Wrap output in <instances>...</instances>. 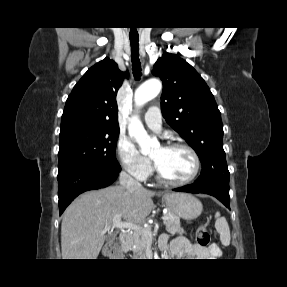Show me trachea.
I'll use <instances>...</instances> for the list:
<instances>
[{"instance_id": "3493384b", "label": "trachea", "mask_w": 287, "mask_h": 287, "mask_svg": "<svg viewBox=\"0 0 287 287\" xmlns=\"http://www.w3.org/2000/svg\"><path fill=\"white\" fill-rule=\"evenodd\" d=\"M130 43H131V52H132V65H133V73L136 79H139L141 76V67H140V62H139V37L138 36H133L129 37Z\"/></svg>"}]
</instances>
